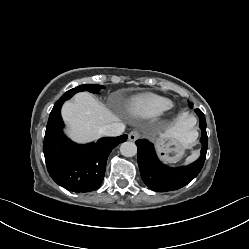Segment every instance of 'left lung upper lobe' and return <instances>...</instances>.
<instances>
[{
  "label": "left lung upper lobe",
  "instance_id": "obj_1",
  "mask_svg": "<svg viewBox=\"0 0 249 249\" xmlns=\"http://www.w3.org/2000/svg\"><path fill=\"white\" fill-rule=\"evenodd\" d=\"M190 107H191V108L193 107V104H192V103L190 104Z\"/></svg>",
  "mask_w": 249,
  "mask_h": 249
}]
</instances>
